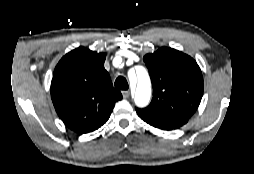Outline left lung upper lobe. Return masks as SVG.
I'll list each match as a JSON object with an SVG mask.
<instances>
[{
    "mask_svg": "<svg viewBox=\"0 0 254 174\" xmlns=\"http://www.w3.org/2000/svg\"><path fill=\"white\" fill-rule=\"evenodd\" d=\"M153 86V99L144 111L188 120L203 95V77L196 61L168 47L144 56ZM138 109V108H136Z\"/></svg>",
    "mask_w": 254,
    "mask_h": 174,
    "instance_id": "5c2ea615",
    "label": "left lung upper lobe"
}]
</instances>
